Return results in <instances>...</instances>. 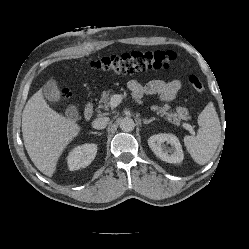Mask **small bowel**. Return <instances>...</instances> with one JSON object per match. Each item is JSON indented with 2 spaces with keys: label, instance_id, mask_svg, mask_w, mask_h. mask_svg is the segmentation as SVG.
Returning a JSON list of instances; mask_svg holds the SVG:
<instances>
[{
  "label": "small bowel",
  "instance_id": "obj_1",
  "mask_svg": "<svg viewBox=\"0 0 249 249\" xmlns=\"http://www.w3.org/2000/svg\"><path fill=\"white\" fill-rule=\"evenodd\" d=\"M180 80L165 82L162 80H152L145 85L137 80H130L128 88L134 99H141L144 95L157 94L161 101H171L176 98L181 89Z\"/></svg>",
  "mask_w": 249,
  "mask_h": 249
}]
</instances>
